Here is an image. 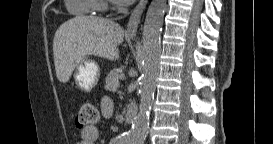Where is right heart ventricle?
Returning a JSON list of instances; mask_svg holds the SVG:
<instances>
[{
    "label": "right heart ventricle",
    "mask_w": 273,
    "mask_h": 144,
    "mask_svg": "<svg viewBox=\"0 0 273 144\" xmlns=\"http://www.w3.org/2000/svg\"><path fill=\"white\" fill-rule=\"evenodd\" d=\"M96 0H66V10L73 16H86L96 10Z\"/></svg>",
    "instance_id": "obj_1"
}]
</instances>
